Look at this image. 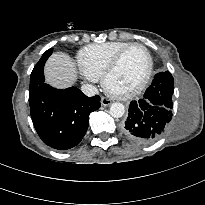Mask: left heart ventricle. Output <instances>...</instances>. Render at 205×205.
Segmentation results:
<instances>
[{"instance_id": "b2bd125f", "label": "left heart ventricle", "mask_w": 205, "mask_h": 205, "mask_svg": "<svg viewBox=\"0 0 205 205\" xmlns=\"http://www.w3.org/2000/svg\"><path fill=\"white\" fill-rule=\"evenodd\" d=\"M148 67V57L142 48L129 50L122 58L119 66L110 76L108 86L117 92H125L136 85L144 77Z\"/></svg>"}]
</instances>
